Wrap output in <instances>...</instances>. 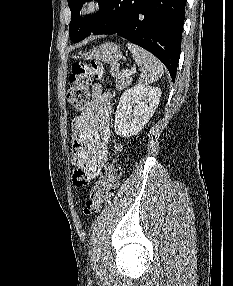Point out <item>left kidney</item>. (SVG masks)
Masks as SVG:
<instances>
[{
  "label": "left kidney",
  "mask_w": 233,
  "mask_h": 286,
  "mask_svg": "<svg viewBox=\"0 0 233 286\" xmlns=\"http://www.w3.org/2000/svg\"><path fill=\"white\" fill-rule=\"evenodd\" d=\"M161 96V89L136 85L120 97L115 113L114 131L121 137H131L140 132L153 116Z\"/></svg>",
  "instance_id": "5707ae66"
}]
</instances>
